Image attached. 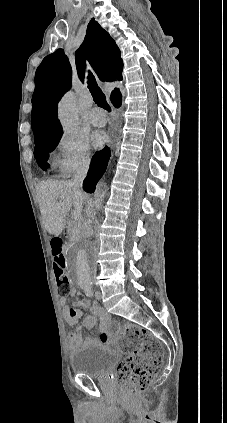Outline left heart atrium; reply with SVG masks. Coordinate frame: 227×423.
I'll use <instances>...</instances> for the list:
<instances>
[{
    "label": "left heart atrium",
    "instance_id": "1",
    "mask_svg": "<svg viewBox=\"0 0 227 423\" xmlns=\"http://www.w3.org/2000/svg\"><path fill=\"white\" fill-rule=\"evenodd\" d=\"M91 141L95 149L101 148L107 141V136L103 131H95L91 136Z\"/></svg>",
    "mask_w": 227,
    "mask_h": 423
}]
</instances>
